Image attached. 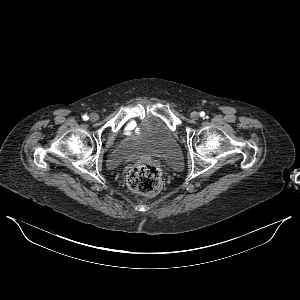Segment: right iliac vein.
Wrapping results in <instances>:
<instances>
[{"mask_svg": "<svg viewBox=\"0 0 300 300\" xmlns=\"http://www.w3.org/2000/svg\"><path fill=\"white\" fill-rule=\"evenodd\" d=\"M98 119H99V116H98L97 113H92V114H90V120H91L92 122H96V121H98Z\"/></svg>", "mask_w": 300, "mask_h": 300, "instance_id": "right-iliac-vein-1", "label": "right iliac vein"}]
</instances>
